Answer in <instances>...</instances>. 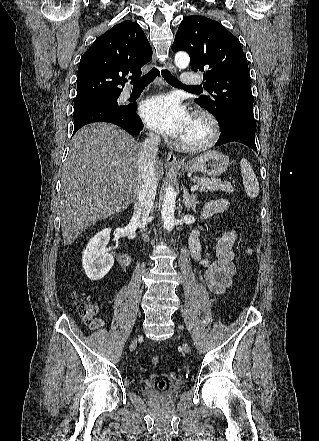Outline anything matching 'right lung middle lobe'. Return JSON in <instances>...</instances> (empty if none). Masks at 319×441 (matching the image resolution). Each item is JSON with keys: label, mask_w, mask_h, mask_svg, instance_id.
I'll return each instance as SVG.
<instances>
[{"label": "right lung middle lobe", "mask_w": 319, "mask_h": 441, "mask_svg": "<svg viewBox=\"0 0 319 441\" xmlns=\"http://www.w3.org/2000/svg\"><path fill=\"white\" fill-rule=\"evenodd\" d=\"M119 96H112L101 99H92L84 101H75L74 103V113L77 114L81 111H85L91 108L97 107H112V108H126V106L118 105L117 99Z\"/></svg>", "instance_id": "1"}]
</instances>
